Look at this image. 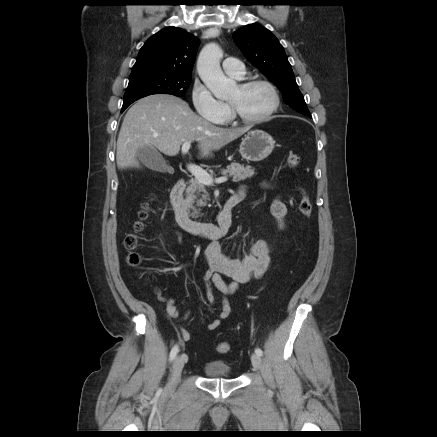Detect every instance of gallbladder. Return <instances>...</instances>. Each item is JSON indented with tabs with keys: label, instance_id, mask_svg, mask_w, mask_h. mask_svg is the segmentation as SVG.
I'll use <instances>...</instances> for the list:
<instances>
[{
	"label": "gallbladder",
	"instance_id": "gallbladder-1",
	"mask_svg": "<svg viewBox=\"0 0 437 437\" xmlns=\"http://www.w3.org/2000/svg\"><path fill=\"white\" fill-rule=\"evenodd\" d=\"M136 156L143 165L153 171L165 172L168 169L161 154L153 147L144 146L139 148Z\"/></svg>",
	"mask_w": 437,
	"mask_h": 437
}]
</instances>
